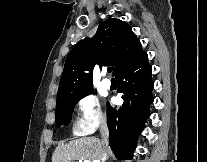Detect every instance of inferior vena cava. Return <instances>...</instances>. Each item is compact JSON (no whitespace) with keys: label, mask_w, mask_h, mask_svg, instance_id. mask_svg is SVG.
Instances as JSON below:
<instances>
[{"label":"inferior vena cava","mask_w":207,"mask_h":162,"mask_svg":"<svg viewBox=\"0 0 207 162\" xmlns=\"http://www.w3.org/2000/svg\"><path fill=\"white\" fill-rule=\"evenodd\" d=\"M100 134H101V141L105 145L108 144V138H109V130L107 126L106 120H103L101 123V128H100ZM103 162L106 160V153H103L102 159ZM100 162V161H99Z\"/></svg>","instance_id":"obj_1"}]
</instances>
